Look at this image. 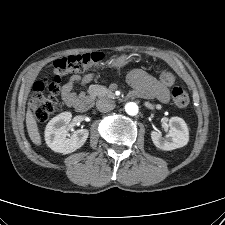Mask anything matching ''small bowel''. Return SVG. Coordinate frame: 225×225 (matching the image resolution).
I'll return each mask as SVG.
<instances>
[{"label": "small bowel", "instance_id": "1", "mask_svg": "<svg viewBox=\"0 0 225 225\" xmlns=\"http://www.w3.org/2000/svg\"><path fill=\"white\" fill-rule=\"evenodd\" d=\"M94 79L92 74L72 75L61 88L63 102L70 107L83 97V92H77L76 88L84 87ZM128 82L134 89V94L141 98H157L161 102L169 101V89L167 84L158 80L144 70L136 69L128 74Z\"/></svg>", "mask_w": 225, "mask_h": 225}]
</instances>
